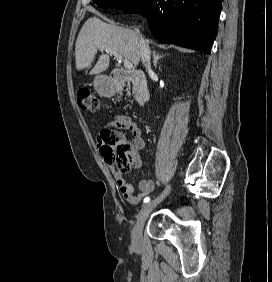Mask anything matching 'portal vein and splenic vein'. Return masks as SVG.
I'll return each mask as SVG.
<instances>
[{"label":"portal vein and splenic vein","mask_w":272,"mask_h":282,"mask_svg":"<svg viewBox=\"0 0 272 282\" xmlns=\"http://www.w3.org/2000/svg\"><path fill=\"white\" fill-rule=\"evenodd\" d=\"M99 49H100L101 51H106V52L110 53L111 55H114V57H115L117 60H119V61H122V60H123L122 56H121L117 51H115V50H113V49H110V48H108V47H106V46H104V45H100V46H99ZM124 67H125L126 69H132V68H133V64H132V62H130V61L124 60Z\"/></svg>","instance_id":"obj_1"}]
</instances>
